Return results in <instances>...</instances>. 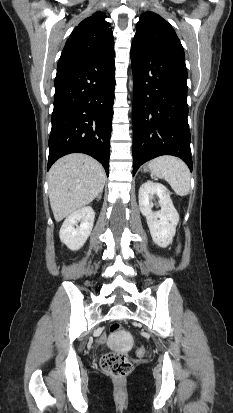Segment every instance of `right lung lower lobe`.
I'll return each mask as SVG.
<instances>
[{
    "mask_svg": "<svg viewBox=\"0 0 233 413\" xmlns=\"http://www.w3.org/2000/svg\"><path fill=\"white\" fill-rule=\"evenodd\" d=\"M114 49L57 68L48 169L69 153L97 159L109 174Z\"/></svg>",
    "mask_w": 233,
    "mask_h": 413,
    "instance_id": "right-lung-lower-lobe-1",
    "label": "right lung lower lobe"
}]
</instances>
